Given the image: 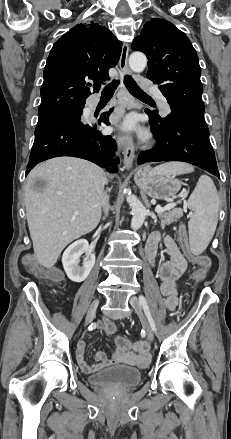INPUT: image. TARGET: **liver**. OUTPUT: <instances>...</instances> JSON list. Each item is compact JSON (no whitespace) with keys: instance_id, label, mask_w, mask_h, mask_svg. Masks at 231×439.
<instances>
[{"instance_id":"1","label":"liver","mask_w":231,"mask_h":439,"mask_svg":"<svg viewBox=\"0 0 231 439\" xmlns=\"http://www.w3.org/2000/svg\"><path fill=\"white\" fill-rule=\"evenodd\" d=\"M37 179L46 182L42 190L34 186ZM105 182L103 169L75 157L49 159L29 173L26 216L40 265L52 268L69 243L97 227Z\"/></svg>"}]
</instances>
